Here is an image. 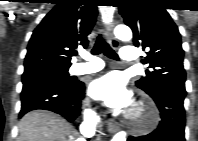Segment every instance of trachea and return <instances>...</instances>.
Returning a JSON list of instances; mask_svg holds the SVG:
<instances>
[{
	"label": "trachea",
	"mask_w": 198,
	"mask_h": 141,
	"mask_svg": "<svg viewBox=\"0 0 198 141\" xmlns=\"http://www.w3.org/2000/svg\"><path fill=\"white\" fill-rule=\"evenodd\" d=\"M101 52H103L107 57L114 59V60H119L118 55L115 53V51L106 43L105 39L103 36L100 34L97 37V40L94 44V47L92 49V54L93 55H98Z\"/></svg>",
	"instance_id": "trachea-1"
}]
</instances>
